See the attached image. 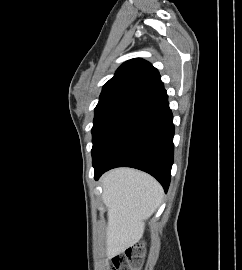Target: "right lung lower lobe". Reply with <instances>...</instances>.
Wrapping results in <instances>:
<instances>
[{"mask_svg":"<svg viewBox=\"0 0 242 270\" xmlns=\"http://www.w3.org/2000/svg\"><path fill=\"white\" fill-rule=\"evenodd\" d=\"M173 116L166 91L138 105L93 161L95 179L115 167H133L155 177L167 192L173 164Z\"/></svg>","mask_w":242,"mask_h":270,"instance_id":"1","label":"right lung lower lobe"}]
</instances>
